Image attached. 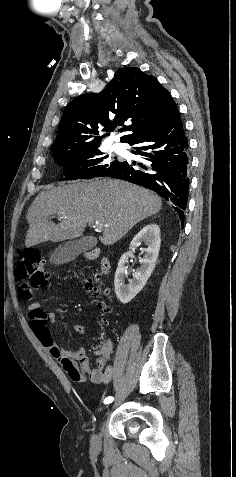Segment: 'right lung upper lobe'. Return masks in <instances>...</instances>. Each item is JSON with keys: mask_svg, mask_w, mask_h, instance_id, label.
Listing matches in <instances>:
<instances>
[{"mask_svg": "<svg viewBox=\"0 0 236 477\" xmlns=\"http://www.w3.org/2000/svg\"><path fill=\"white\" fill-rule=\"evenodd\" d=\"M177 112L169 92L156 78L139 68L125 67L104 91L80 95L66 106L52 154L99 147L108 135L97 136L99 131L111 132L117 125L126 132L121 142L128 143L164 127Z\"/></svg>", "mask_w": 236, "mask_h": 477, "instance_id": "obj_1", "label": "right lung upper lobe"}]
</instances>
